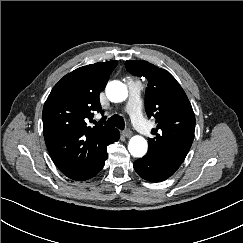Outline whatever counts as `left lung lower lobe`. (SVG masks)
<instances>
[{
    "label": "left lung lower lobe",
    "mask_w": 243,
    "mask_h": 243,
    "mask_svg": "<svg viewBox=\"0 0 243 243\" xmlns=\"http://www.w3.org/2000/svg\"><path fill=\"white\" fill-rule=\"evenodd\" d=\"M138 175L150 182H161L169 178L178 168L168 165L159 158L145 155L133 164Z\"/></svg>",
    "instance_id": "obj_1"
}]
</instances>
